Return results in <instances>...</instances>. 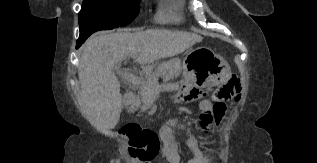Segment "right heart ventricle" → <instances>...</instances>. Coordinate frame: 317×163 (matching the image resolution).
<instances>
[{
	"label": "right heart ventricle",
	"instance_id": "1",
	"mask_svg": "<svg viewBox=\"0 0 317 163\" xmlns=\"http://www.w3.org/2000/svg\"><path fill=\"white\" fill-rule=\"evenodd\" d=\"M182 0H162L155 19L159 23H175L181 19Z\"/></svg>",
	"mask_w": 317,
	"mask_h": 163
}]
</instances>
